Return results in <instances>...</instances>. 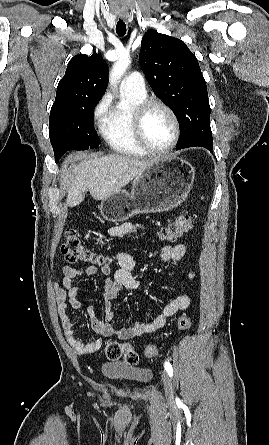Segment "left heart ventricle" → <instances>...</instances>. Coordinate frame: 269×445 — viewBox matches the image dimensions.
I'll return each mask as SVG.
<instances>
[{"mask_svg": "<svg viewBox=\"0 0 269 445\" xmlns=\"http://www.w3.org/2000/svg\"><path fill=\"white\" fill-rule=\"evenodd\" d=\"M144 136L154 149L168 146L174 135V125L169 114L161 108L151 109L144 120Z\"/></svg>", "mask_w": 269, "mask_h": 445, "instance_id": "left-heart-ventricle-1", "label": "left heart ventricle"}]
</instances>
